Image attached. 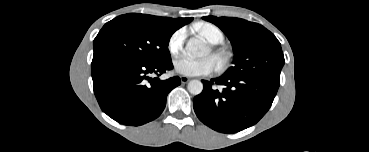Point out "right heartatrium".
<instances>
[{"label":"right heart atrium","instance_id":"obj_1","mask_svg":"<svg viewBox=\"0 0 369 152\" xmlns=\"http://www.w3.org/2000/svg\"><path fill=\"white\" fill-rule=\"evenodd\" d=\"M185 39L186 33L183 29H179L171 35L168 41V50L173 57H177L182 54Z\"/></svg>","mask_w":369,"mask_h":152}]
</instances>
